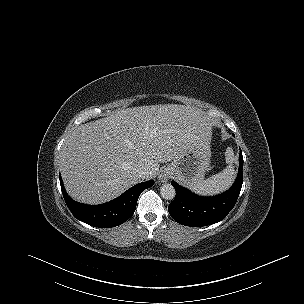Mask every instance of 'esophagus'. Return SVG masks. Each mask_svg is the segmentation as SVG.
Here are the masks:
<instances>
[{
  "instance_id": "obj_1",
  "label": "esophagus",
  "mask_w": 304,
  "mask_h": 304,
  "mask_svg": "<svg viewBox=\"0 0 304 304\" xmlns=\"http://www.w3.org/2000/svg\"><path fill=\"white\" fill-rule=\"evenodd\" d=\"M170 178V175L168 173H162L160 176H159V180H161L162 182H166L168 181Z\"/></svg>"
}]
</instances>
